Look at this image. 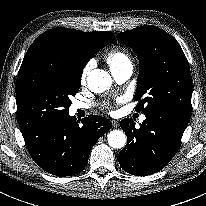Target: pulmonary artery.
Returning a JSON list of instances; mask_svg holds the SVG:
<instances>
[{
	"label": "pulmonary artery",
	"instance_id": "obj_1",
	"mask_svg": "<svg viewBox=\"0 0 206 206\" xmlns=\"http://www.w3.org/2000/svg\"><path fill=\"white\" fill-rule=\"evenodd\" d=\"M132 71H133L132 65H125L118 69L112 70L111 74L113 78L116 80V82L123 83L130 78V76L132 75ZM73 107L75 109H88L90 108V105L77 101L73 104ZM140 120L144 121L145 116H141Z\"/></svg>",
	"mask_w": 206,
	"mask_h": 206
}]
</instances>
